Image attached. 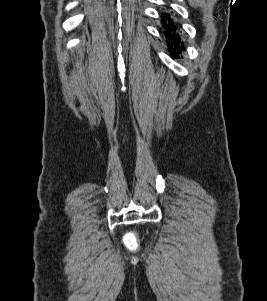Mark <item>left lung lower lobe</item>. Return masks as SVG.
Returning <instances> with one entry per match:
<instances>
[{
    "mask_svg": "<svg viewBox=\"0 0 267 301\" xmlns=\"http://www.w3.org/2000/svg\"><path fill=\"white\" fill-rule=\"evenodd\" d=\"M162 22L164 23V33L166 35L169 48L173 47L171 56L175 58L178 56V54H180L182 50H184L183 44L180 43L181 38L177 33H175L177 26L173 24V21L170 19L168 14L163 15Z\"/></svg>",
    "mask_w": 267,
    "mask_h": 301,
    "instance_id": "1",
    "label": "left lung lower lobe"
}]
</instances>
